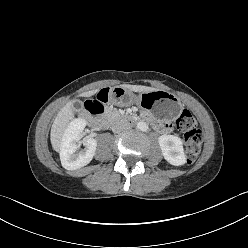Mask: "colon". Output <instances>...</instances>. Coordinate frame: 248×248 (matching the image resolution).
Returning a JSON list of instances; mask_svg holds the SVG:
<instances>
[{
	"mask_svg": "<svg viewBox=\"0 0 248 248\" xmlns=\"http://www.w3.org/2000/svg\"><path fill=\"white\" fill-rule=\"evenodd\" d=\"M89 101L86 102L85 106ZM97 107H102V105ZM176 126L183 132L185 137L186 162L188 164L193 163L198 157L202 146V134L197 128L196 120L190 111L183 110L176 121Z\"/></svg>",
	"mask_w": 248,
	"mask_h": 248,
	"instance_id": "obj_1",
	"label": "colon"
}]
</instances>
